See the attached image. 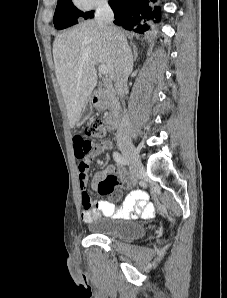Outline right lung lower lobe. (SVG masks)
Wrapping results in <instances>:
<instances>
[{"label":"right lung lower lobe","mask_w":227,"mask_h":298,"mask_svg":"<svg viewBox=\"0 0 227 298\" xmlns=\"http://www.w3.org/2000/svg\"><path fill=\"white\" fill-rule=\"evenodd\" d=\"M155 1L156 0H109V4L114 12V23L127 30H134L138 33L145 32L149 27L146 24H139L142 19L146 21L151 18H156L155 22H158L160 19L159 9L155 7L152 12L148 5L149 2ZM92 17L93 13L88 18Z\"/></svg>","instance_id":"obj_1"}]
</instances>
